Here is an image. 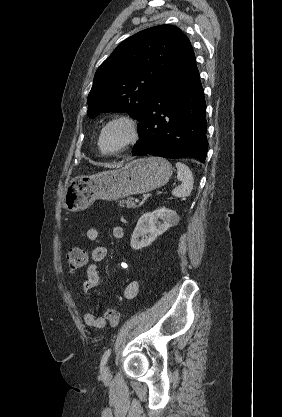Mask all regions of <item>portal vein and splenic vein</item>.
Segmentation results:
<instances>
[{"label": "portal vein and splenic vein", "instance_id": "obj_1", "mask_svg": "<svg viewBox=\"0 0 282 417\" xmlns=\"http://www.w3.org/2000/svg\"><path fill=\"white\" fill-rule=\"evenodd\" d=\"M135 202H136V203H139V202H140V199H139V198H136V199H135Z\"/></svg>", "mask_w": 282, "mask_h": 417}]
</instances>
